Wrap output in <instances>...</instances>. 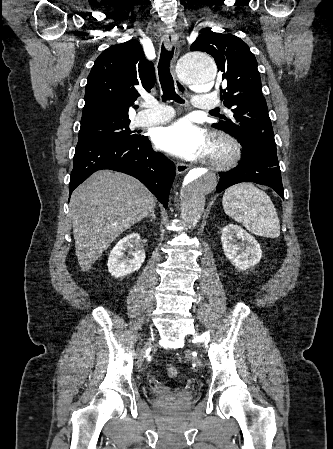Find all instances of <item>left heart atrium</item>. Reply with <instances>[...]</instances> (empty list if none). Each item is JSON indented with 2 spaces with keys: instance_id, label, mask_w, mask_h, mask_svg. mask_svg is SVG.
Masks as SVG:
<instances>
[{
  "instance_id": "obj_1",
  "label": "left heart atrium",
  "mask_w": 333,
  "mask_h": 449,
  "mask_svg": "<svg viewBox=\"0 0 333 449\" xmlns=\"http://www.w3.org/2000/svg\"><path fill=\"white\" fill-rule=\"evenodd\" d=\"M154 141L160 149L186 160H195L210 151L207 134L188 119L159 128Z\"/></svg>"
}]
</instances>
